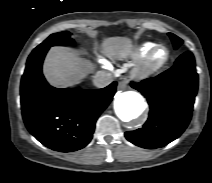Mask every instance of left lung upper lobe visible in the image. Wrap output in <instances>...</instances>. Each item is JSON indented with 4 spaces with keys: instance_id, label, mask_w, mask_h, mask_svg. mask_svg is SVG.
I'll return each mask as SVG.
<instances>
[{
    "instance_id": "1",
    "label": "left lung upper lobe",
    "mask_w": 212,
    "mask_h": 183,
    "mask_svg": "<svg viewBox=\"0 0 212 183\" xmlns=\"http://www.w3.org/2000/svg\"><path fill=\"white\" fill-rule=\"evenodd\" d=\"M169 36L173 42L174 48L177 49L182 44L183 41L172 33H169Z\"/></svg>"
}]
</instances>
